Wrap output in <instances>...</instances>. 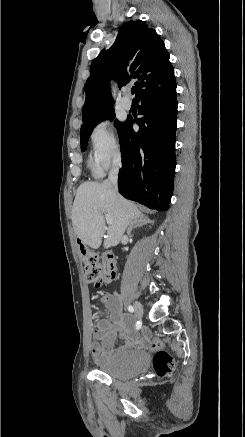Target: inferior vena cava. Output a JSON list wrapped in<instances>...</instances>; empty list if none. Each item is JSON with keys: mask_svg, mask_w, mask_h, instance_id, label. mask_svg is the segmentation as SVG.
Instances as JSON below:
<instances>
[{"mask_svg": "<svg viewBox=\"0 0 245 437\" xmlns=\"http://www.w3.org/2000/svg\"><path fill=\"white\" fill-rule=\"evenodd\" d=\"M120 166H121V158H120V156H118L113 160V164H112L111 170L109 172V176H108V181L112 184L113 190L115 192H117V190H118L117 181H118V174H119Z\"/></svg>", "mask_w": 245, "mask_h": 437, "instance_id": "inferior-vena-cava-1", "label": "inferior vena cava"}]
</instances>
